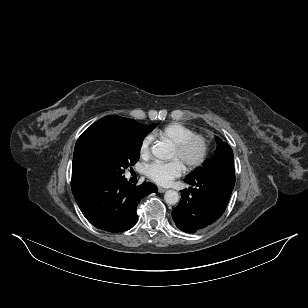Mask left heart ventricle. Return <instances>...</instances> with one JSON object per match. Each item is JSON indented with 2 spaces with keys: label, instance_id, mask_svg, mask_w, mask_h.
Wrapping results in <instances>:
<instances>
[{
  "label": "left heart ventricle",
  "instance_id": "obj_1",
  "mask_svg": "<svg viewBox=\"0 0 308 308\" xmlns=\"http://www.w3.org/2000/svg\"><path fill=\"white\" fill-rule=\"evenodd\" d=\"M200 150H201V145L199 143H195L193 146H191V148L187 151V153L182 157H180L177 154L176 150L174 149L172 153V157L180 159L185 164L187 161H190L196 158Z\"/></svg>",
  "mask_w": 308,
  "mask_h": 308
}]
</instances>
